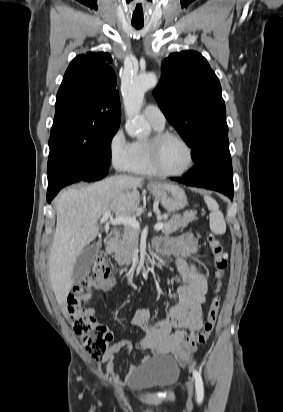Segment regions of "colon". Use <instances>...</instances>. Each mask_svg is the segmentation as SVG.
<instances>
[{
	"label": "colon",
	"mask_w": 283,
	"mask_h": 412,
	"mask_svg": "<svg viewBox=\"0 0 283 412\" xmlns=\"http://www.w3.org/2000/svg\"><path fill=\"white\" fill-rule=\"evenodd\" d=\"M206 242L213 257L208 312L202 328L187 337L178 350L179 354H184L207 341L213 331L220 309L219 291L227 266V254L221 241L213 234L207 235ZM109 274L110 267L107 259L102 254L97 255L83 283L67 299V314L72 330L94 359L105 357L113 334L104 324L97 321L90 309L85 307V304L89 300L90 291L106 279Z\"/></svg>",
	"instance_id": "1"
}]
</instances>
